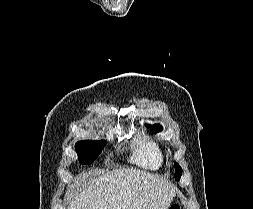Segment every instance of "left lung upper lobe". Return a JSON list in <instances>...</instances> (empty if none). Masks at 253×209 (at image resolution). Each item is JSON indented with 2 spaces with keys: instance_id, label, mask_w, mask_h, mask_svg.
<instances>
[{
  "instance_id": "obj_1",
  "label": "left lung upper lobe",
  "mask_w": 253,
  "mask_h": 209,
  "mask_svg": "<svg viewBox=\"0 0 253 209\" xmlns=\"http://www.w3.org/2000/svg\"><path fill=\"white\" fill-rule=\"evenodd\" d=\"M148 127H150L154 133L160 132L162 130V126H160L159 124H154ZM181 175H182V168L178 163L175 162V179L179 180Z\"/></svg>"
}]
</instances>
